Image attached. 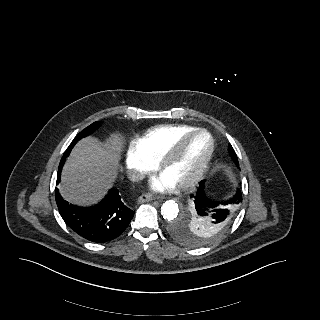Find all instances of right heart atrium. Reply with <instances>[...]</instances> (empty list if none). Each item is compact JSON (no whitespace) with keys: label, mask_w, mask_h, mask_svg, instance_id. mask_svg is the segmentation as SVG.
Listing matches in <instances>:
<instances>
[{"label":"right heart atrium","mask_w":320,"mask_h":320,"mask_svg":"<svg viewBox=\"0 0 320 320\" xmlns=\"http://www.w3.org/2000/svg\"><path fill=\"white\" fill-rule=\"evenodd\" d=\"M124 163L133 180L141 179L156 167V162L146 157L135 144L129 148Z\"/></svg>","instance_id":"d8ad5b80"}]
</instances>
